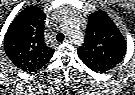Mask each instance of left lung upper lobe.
Listing matches in <instances>:
<instances>
[{"mask_svg":"<svg viewBox=\"0 0 135 95\" xmlns=\"http://www.w3.org/2000/svg\"><path fill=\"white\" fill-rule=\"evenodd\" d=\"M126 41L103 11L88 18L85 43L78 49L83 63L95 72H105L119 64L126 54Z\"/></svg>","mask_w":135,"mask_h":95,"instance_id":"1","label":"left lung upper lobe"}]
</instances>
